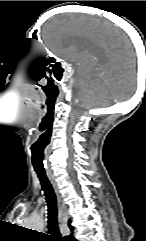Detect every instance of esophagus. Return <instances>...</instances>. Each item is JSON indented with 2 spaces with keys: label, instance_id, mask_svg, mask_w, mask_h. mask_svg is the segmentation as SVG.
I'll use <instances>...</instances> for the list:
<instances>
[{
  "label": "esophagus",
  "instance_id": "esophagus-1",
  "mask_svg": "<svg viewBox=\"0 0 146 241\" xmlns=\"http://www.w3.org/2000/svg\"><path fill=\"white\" fill-rule=\"evenodd\" d=\"M47 176L49 178V181L55 191L56 197H57V202H58V210H59V221H63V210H64V203L62 200V196L60 194L59 187L56 183L55 177L51 172H47Z\"/></svg>",
  "mask_w": 146,
  "mask_h": 241
}]
</instances>
